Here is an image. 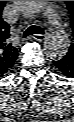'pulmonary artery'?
<instances>
[{"instance_id":"pulmonary-artery-1","label":"pulmonary artery","mask_w":74,"mask_h":122,"mask_svg":"<svg viewBox=\"0 0 74 122\" xmlns=\"http://www.w3.org/2000/svg\"><path fill=\"white\" fill-rule=\"evenodd\" d=\"M47 8H48V11L50 12L54 22L60 24V20H59L56 10L51 5H48ZM62 29H63V25L60 24L59 31H61Z\"/></svg>"}]
</instances>
